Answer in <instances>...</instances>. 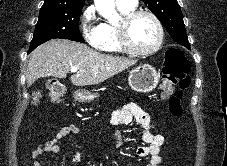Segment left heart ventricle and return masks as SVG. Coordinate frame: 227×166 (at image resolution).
<instances>
[{"label":"left heart ventricle","mask_w":227,"mask_h":166,"mask_svg":"<svg viewBox=\"0 0 227 166\" xmlns=\"http://www.w3.org/2000/svg\"><path fill=\"white\" fill-rule=\"evenodd\" d=\"M157 29L148 16L135 19L128 28V40L137 48L148 49L156 41Z\"/></svg>","instance_id":"left-heart-ventricle-1"}]
</instances>
